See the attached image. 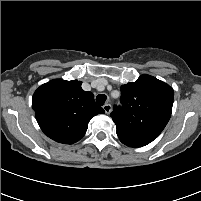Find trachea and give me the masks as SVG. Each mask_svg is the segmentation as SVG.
Segmentation results:
<instances>
[{
	"instance_id": "obj_1",
	"label": "trachea",
	"mask_w": 201,
	"mask_h": 201,
	"mask_svg": "<svg viewBox=\"0 0 201 201\" xmlns=\"http://www.w3.org/2000/svg\"><path fill=\"white\" fill-rule=\"evenodd\" d=\"M106 99H107V96L105 94H99L96 97V102L98 105L102 106V105H104Z\"/></svg>"
}]
</instances>
